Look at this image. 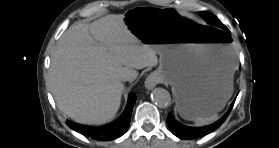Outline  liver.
<instances>
[{
  "label": "liver",
  "mask_w": 279,
  "mask_h": 148,
  "mask_svg": "<svg viewBox=\"0 0 279 148\" xmlns=\"http://www.w3.org/2000/svg\"><path fill=\"white\" fill-rule=\"evenodd\" d=\"M158 64L157 51L141 43L123 15L110 14L90 25L78 23L59 39L51 57L50 89L57 107L78 123L102 125L121 103V75Z\"/></svg>",
  "instance_id": "6515ba94"
}]
</instances>
